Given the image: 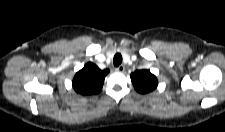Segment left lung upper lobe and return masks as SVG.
<instances>
[{
  "instance_id": "left-lung-upper-lobe-1",
  "label": "left lung upper lobe",
  "mask_w": 225,
  "mask_h": 132,
  "mask_svg": "<svg viewBox=\"0 0 225 132\" xmlns=\"http://www.w3.org/2000/svg\"><path fill=\"white\" fill-rule=\"evenodd\" d=\"M131 80L134 88L139 93H148L153 91L157 85V78L149 70H137L131 74Z\"/></svg>"
}]
</instances>
